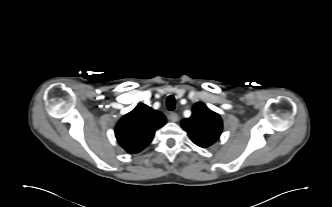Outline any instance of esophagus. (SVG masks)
Instances as JSON below:
<instances>
[{
    "label": "esophagus",
    "instance_id": "obj_1",
    "mask_svg": "<svg viewBox=\"0 0 332 207\" xmlns=\"http://www.w3.org/2000/svg\"><path fill=\"white\" fill-rule=\"evenodd\" d=\"M168 119L172 122H177L179 120V116L177 113H170L168 115Z\"/></svg>",
    "mask_w": 332,
    "mask_h": 207
}]
</instances>
